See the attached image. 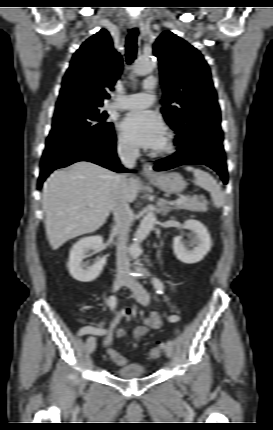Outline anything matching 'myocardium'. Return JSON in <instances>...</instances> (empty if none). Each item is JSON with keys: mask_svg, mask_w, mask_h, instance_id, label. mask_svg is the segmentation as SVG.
I'll return each instance as SVG.
<instances>
[{"mask_svg": "<svg viewBox=\"0 0 273 430\" xmlns=\"http://www.w3.org/2000/svg\"><path fill=\"white\" fill-rule=\"evenodd\" d=\"M176 148V142L174 135L172 133H168L166 136V140L162 148L159 150V155L166 156L170 155L175 151Z\"/></svg>", "mask_w": 273, "mask_h": 430, "instance_id": "f54148a6", "label": "myocardium"}]
</instances>
